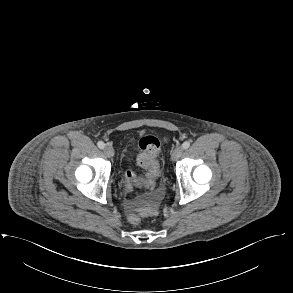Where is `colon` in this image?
I'll return each instance as SVG.
<instances>
[{
	"instance_id": "1",
	"label": "colon",
	"mask_w": 293,
	"mask_h": 293,
	"mask_svg": "<svg viewBox=\"0 0 293 293\" xmlns=\"http://www.w3.org/2000/svg\"><path fill=\"white\" fill-rule=\"evenodd\" d=\"M139 143L142 149V153L138 157V163L140 166L147 169V174L143 178V182L147 186L152 187L156 178L159 175V165L157 162V157L160 151L161 144L159 139L151 134L143 135ZM138 181V178L132 172L126 173L127 186H133L138 183ZM149 197H151V195H149ZM154 210L155 208L150 209L151 212H153ZM128 220L131 224L137 225L141 221L140 214L137 212H133L129 214Z\"/></svg>"
}]
</instances>
